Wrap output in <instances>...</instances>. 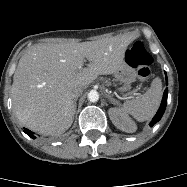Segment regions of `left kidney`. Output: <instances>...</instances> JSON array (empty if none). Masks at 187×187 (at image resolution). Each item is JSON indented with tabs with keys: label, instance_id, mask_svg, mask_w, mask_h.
Segmentation results:
<instances>
[{
	"label": "left kidney",
	"instance_id": "1",
	"mask_svg": "<svg viewBox=\"0 0 187 187\" xmlns=\"http://www.w3.org/2000/svg\"><path fill=\"white\" fill-rule=\"evenodd\" d=\"M109 117L112 123L124 132L132 133L136 130L135 123L128 117V115L119 108H110Z\"/></svg>",
	"mask_w": 187,
	"mask_h": 187
}]
</instances>
